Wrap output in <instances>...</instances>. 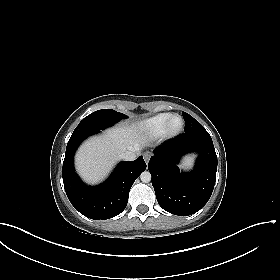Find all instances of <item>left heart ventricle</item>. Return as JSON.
<instances>
[{"instance_id":"b2bd125f","label":"left heart ventricle","mask_w":280,"mask_h":280,"mask_svg":"<svg viewBox=\"0 0 280 280\" xmlns=\"http://www.w3.org/2000/svg\"><path fill=\"white\" fill-rule=\"evenodd\" d=\"M181 126V120L179 118H173L170 124L171 130L175 131Z\"/></svg>"}]
</instances>
